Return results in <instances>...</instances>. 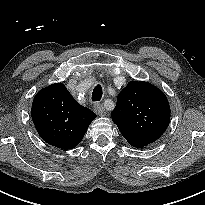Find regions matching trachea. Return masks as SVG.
I'll return each instance as SVG.
<instances>
[{"label":"trachea","mask_w":205,"mask_h":205,"mask_svg":"<svg viewBox=\"0 0 205 205\" xmlns=\"http://www.w3.org/2000/svg\"><path fill=\"white\" fill-rule=\"evenodd\" d=\"M102 94H103L102 87H101V85L98 84L93 89L92 97H91L92 101H94V102L100 101L102 98Z\"/></svg>","instance_id":"trachea-1"}]
</instances>
